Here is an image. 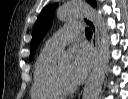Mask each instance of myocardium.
Here are the masks:
<instances>
[{
	"label": "myocardium",
	"instance_id": "1",
	"mask_svg": "<svg viewBox=\"0 0 128 99\" xmlns=\"http://www.w3.org/2000/svg\"><path fill=\"white\" fill-rule=\"evenodd\" d=\"M55 80L59 88L64 92V93H71L74 92L77 89V84L76 83H68L61 70L60 66L57 65L55 69Z\"/></svg>",
	"mask_w": 128,
	"mask_h": 99
}]
</instances>
